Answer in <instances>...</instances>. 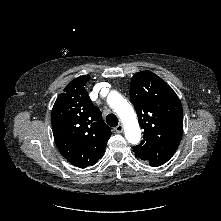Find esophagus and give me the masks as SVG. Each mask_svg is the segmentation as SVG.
I'll return each mask as SVG.
<instances>
[{
	"label": "esophagus",
	"instance_id": "1",
	"mask_svg": "<svg viewBox=\"0 0 221 221\" xmlns=\"http://www.w3.org/2000/svg\"><path fill=\"white\" fill-rule=\"evenodd\" d=\"M115 131H116L117 133H121V132L123 131V125H122V124H119L118 126H116Z\"/></svg>",
	"mask_w": 221,
	"mask_h": 221
}]
</instances>
